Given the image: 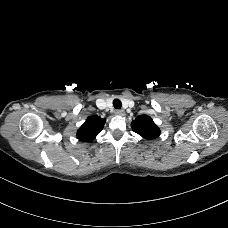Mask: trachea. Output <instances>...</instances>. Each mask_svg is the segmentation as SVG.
Masks as SVG:
<instances>
[{
	"label": "trachea",
	"mask_w": 228,
	"mask_h": 228,
	"mask_svg": "<svg viewBox=\"0 0 228 228\" xmlns=\"http://www.w3.org/2000/svg\"><path fill=\"white\" fill-rule=\"evenodd\" d=\"M113 106H114L115 109H120L122 107V103H121V101L119 99H115L113 101Z\"/></svg>",
	"instance_id": "trachea-1"
}]
</instances>
